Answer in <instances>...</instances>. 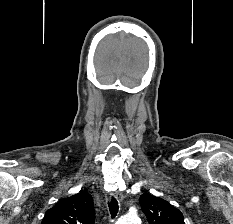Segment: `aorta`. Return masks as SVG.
Masks as SVG:
<instances>
[{
    "label": "aorta",
    "instance_id": "1",
    "mask_svg": "<svg viewBox=\"0 0 233 224\" xmlns=\"http://www.w3.org/2000/svg\"><path fill=\"white\" fill-rule=\"evenodd\" d=\"M116 224H141V220L136 214H126Z\"/></svg>",
    "mask_w": 233,
    "mask_h": 224
}]
</instances>
